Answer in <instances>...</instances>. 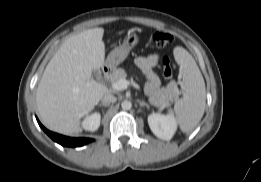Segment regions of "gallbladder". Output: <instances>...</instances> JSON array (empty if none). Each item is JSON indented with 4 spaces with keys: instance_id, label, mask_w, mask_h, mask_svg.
Wrapping results in <instances>:
<instances>
[{
    "instance_id": "1",
    "label": "gallbladder",
    "mask_w": 261,
    "mask_h": 182,
    "mask_svg": "<svg viewBox=\"0 0 261 182\" xmlns=\"http://www.w3.org/2000/svg\"><path fill=\"white\" fill-rule=\"evenodd\" d=\"M92 74H93V77H94L95 79L100 80V78H101V73H100V71L95 70V71L92 72Z\"/></svg>"
}]
</instances>
